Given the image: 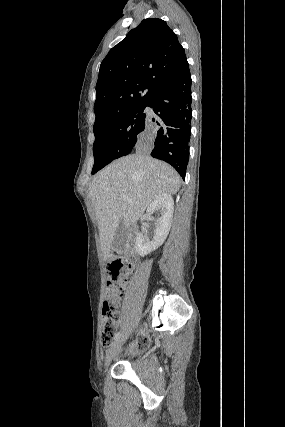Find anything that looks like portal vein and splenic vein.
Returning <instances> with one entry per match:
<instances>
[{
    "label": "portal vein and splenic vein",
    "mask_w": 285,
    "mask_h": 427,
    "mask_svg": "<svg viewBox=\"0 0 285 427\" xmlns=\"http://www.w3.org/2000/svg\"><path fill=\"white\" fill-rule=\"evenodd\" d=\"M121 200L126 201L127 197L125 195H120Z\"/></svg>",
    "instance_id": "18ae733b"
}]
</instances>
